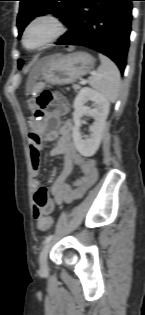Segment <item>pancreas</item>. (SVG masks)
Returning <instances> with one entry per match:
<instances>
[{
	"label": "pancreas",
	"instance_id": "cf45deb5",
	"mask_svg": "<svg viewBox=\"0 0 145 315\" xmlns=\"http://www.w3.org/2000/svg\"><path fill=\"white\" fill-rule=\"evenodd\" d=\"M73 89H74L75 91H77V90L80 89V86H79L78 84H74V85H73Z\"/></svg>",
	"mask_w": 145,
	"mask_h": 315
}]
</instances>
